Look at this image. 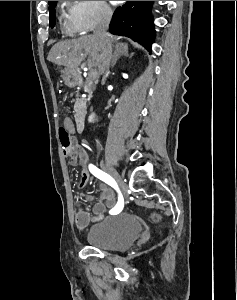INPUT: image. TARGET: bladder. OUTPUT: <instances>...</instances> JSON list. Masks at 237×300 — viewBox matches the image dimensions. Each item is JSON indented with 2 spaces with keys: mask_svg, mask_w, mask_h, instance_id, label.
Instances as JSON below:
<instances>
[{
  "mask_svg": "<svg viewBox=\"0 0 237 300\" xmlns=\"http://www.w3.org/2000/svg\"><path fill=\"white\" fill-rule=\"evenodd\" d=\"M141 225L137 218L127 212L106 216L91 225L86 233V242L101 250L117 251L129 248L138 238Z\"/></svg>",
  "mask_w": 237,
  "mask_h": 300,
  "instance_id": "obj_1",
  "label": "bladder"
}]
</instances>
